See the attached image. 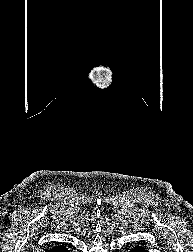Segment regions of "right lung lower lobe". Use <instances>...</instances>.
<instances>
[{
  "mask_svg": "<svg viewBox=\"0 0 193 252\" xmlns=\"http://www.w3.org/2000/svg\"><path fill=\"white\" fill-rule=\"evenodd\" d=\"M48 252H69L66 247L63 246H55L51 248Z\"/></svg>",
  "mask_w": 193,
  "mask_h": 252,
  "instance_id": "obj_1",
  "label": "right lung lower lobe"
}]
</instances>
